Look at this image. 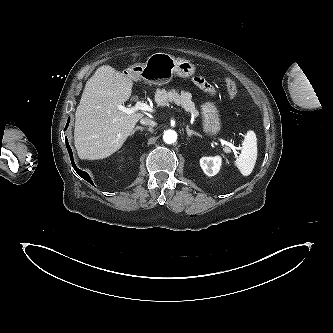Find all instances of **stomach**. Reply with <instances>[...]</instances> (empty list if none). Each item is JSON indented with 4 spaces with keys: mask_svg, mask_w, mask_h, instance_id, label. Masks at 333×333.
Masks as SVG:
<instances>
[{
    "mask_svg": "<svg viewBox=\"0 0 333 333\" xmlns=\"http://www.w3.org/2000/svg\"><path fill=\"white\" fill-rule=\"evenodd\" d=\"M196 71L193 63L186 59L175 58L167 53L152 54L145 63H136L128 68V75L134 80H144L149 84L164 85L174 75L188 78ZM203 130L209 136L217 135L221 130L219 110L214 102L201 105Z\"/></svg>",
    "mask_w": 333,
    "mask_h": 333,
    "instance_id": "stomach-1",
    "label": "stomach"
}]
</instances>
